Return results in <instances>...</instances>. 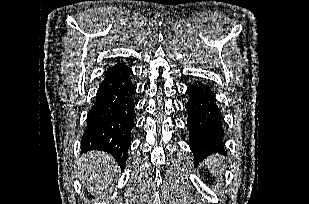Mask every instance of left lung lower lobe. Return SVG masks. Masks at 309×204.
Here are the masks:
<instances>
[{
	"instance_id": "obj_1",
	"label": "left lung lower lobe",
	"mask_w": 309,
	"mask_h": 204,
	"mask_svg": "<svg viewBox=\"0 0 309 204\" xmlns=\"http://www.w3.org/2000/svg\"><path fill=\"white\" fill-rule=\"evenodd\" d=\"M186 93L190 149L197 162L212 153H224V130L221 111L209 87L202 83L191 85Z\"/></svg>"
}]
</instances>
